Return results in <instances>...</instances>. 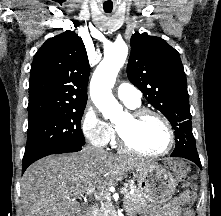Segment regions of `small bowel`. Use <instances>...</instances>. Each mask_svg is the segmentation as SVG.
<instances>
[{"mask_svg": "<svg viewBox=\"0 0 221 216\" xmlns=\"http://www.w3.org/2000/svg\"><path fill=\"white\" fill-rule=\"evenodd\" d=\"M193 202L194 196L189 192H183L176 196L172 202L164 206L162 216H194L191 209H186L182 214L180 212L182 207L190 205Z\"/></svg>", "mask_w": 221, "mask_h": 216, "instance_id": "small-bowel-1", "label": "small bowel"}]
</instances>
